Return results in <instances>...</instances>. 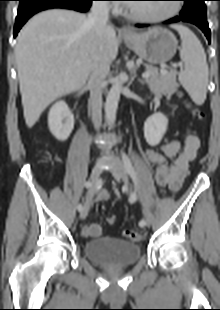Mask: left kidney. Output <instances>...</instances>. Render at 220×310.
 Returning <instances> with one entry per match:
<instances>
[{"instance_id": "1", "label": "left kidney", "mask_w": 220, "mask_h": 310, "mask_svg": "<svg viewBox=\"0 0 220 310\" xmlns=\"http://www.w3.org/2000/svg\"><path fill=\"white\" fill-rule=\"evenodd\" d=\"M168 126V119L162 113H155L144 123V137L150 146L158 145Z\"/></svg>"}]
</instances>
